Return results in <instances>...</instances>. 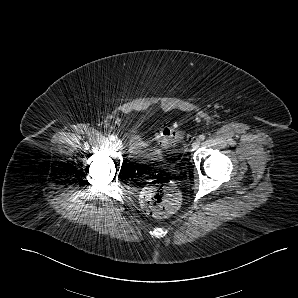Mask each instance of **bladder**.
Returning a JSON list of instances; mask_svg holds the SVG:
<instances>
[{
	"instance_id": "31cf9c89",
	"label": "bladder",
	"mask_w": 298,
	"mask_h": 298,
	"mask_svg": "<svg viewBox=\"0 0 298 298\" xmlns=\"http://www.w3.org/2000/svg\"><path fill=\"white\" fill-rule=\"evenodd\" d=\"M129 152L132 158L140 161H158L163 157L161 148L154 146L140 127L132 130L129 139Z\"/></svg>"
}]
</instances>
